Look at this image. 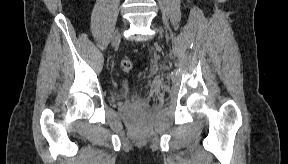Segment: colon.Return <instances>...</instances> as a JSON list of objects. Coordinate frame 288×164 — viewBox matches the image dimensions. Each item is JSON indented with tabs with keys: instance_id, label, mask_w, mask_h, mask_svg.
<instances>
[{
	"instance_id": "colon-1",
	"label": "colon",
	"mask_w": 288,
	"mask_h": 164,
	"mask_svg": "<svg viewBox=\"0 0 288 164\" xmlns=\"http://www.w3.org/2000/svg\"><path fill=\"white\" fill-rule=\"evenodd\" d=\"M120 66H121L123 71L128 72L132 69V61L128 58H124L121 61Z\"/></svg>"
}]
</instances>
